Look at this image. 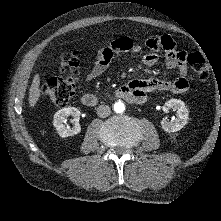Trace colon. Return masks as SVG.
<instances>
[{"instance_id": "obj_1", "label": "colon", "mask_w": 221, "mask_h": 221, "mask_svg": "<svg viewBox=\"0 0 221 221\" xmlns=\"http://www.w3.org/2000/svg\"><path fill=\"white\" fill-rule=\"evenodd\" d=\"M186 62L192 67L199 80L204 81L208 78L209 69L200 53L187 54ZM79 65V56L75 49L67 48L61 51L59 68L63 75L49 78L41 87L43 95L53 104L64 106L75 95Z\"/></svg>"}]
</instances>
